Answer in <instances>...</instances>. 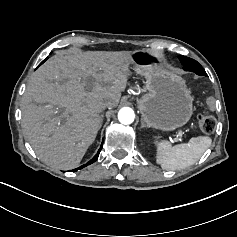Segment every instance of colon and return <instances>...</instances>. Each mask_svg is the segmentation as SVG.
I'll return each instance as SVG.
<instances>
[{
    "mask_svg": "<svg viewBox=\"0 0 237 237\" xmlns=\"http://www.w3.org/2000/svg\"><path fill=\"white\" fill-rule=\"evenodd\" d=\"M216 100L213 97L208 99V106L215 107ZM198 127L204 133H212L216 127V120L212 115L202 114L198 117Z\"/></svg>",
    "mask_w": 237,
    "mask_h": 237,
    "instance_id": "1",
    "label": "colon"
}]
</instances>
